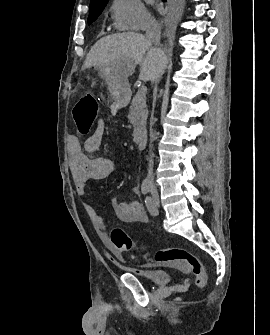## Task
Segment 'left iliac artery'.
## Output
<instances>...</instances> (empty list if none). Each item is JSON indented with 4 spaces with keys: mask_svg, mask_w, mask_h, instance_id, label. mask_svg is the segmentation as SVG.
Returning <instances> with one entry per match:
<instances>
[{
    "mask_svg": "<svg viewBox=\"0 0 270 335\" xmlns=\"http://www.w3.org/2000/svg\"><path fill=\"white\" fill-rule=\"evenodd\" d=\"M145 203H146V207L148 209V211L153 214L154 211V205H153V201L151 199V197L147 196L145 199Z\"/></svg>",
    "mask_w": 270,
    "mask_h": 335,
    "instance_id": "left-iliac-artery-1",
    "label": "left iliac artery"
}]
</instances>
